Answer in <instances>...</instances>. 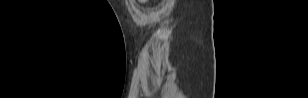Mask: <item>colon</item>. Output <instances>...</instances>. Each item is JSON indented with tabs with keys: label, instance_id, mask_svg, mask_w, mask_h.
<instances>
[{
	"label": "colon",
	"instance_id": "5ec220e1",
	"mask_svg": "<svg viewBox=\"0 0 308 98\" xmlns=\"http://www.w3.org/2000/svg\"><path fill=\"white\" fill-rule=\"evenodd\" d=\"M142 2H145L146 0H141Z\"/></svg>",
	"mask_w": 308,
	"mask_h": 98
}]
</instances>
